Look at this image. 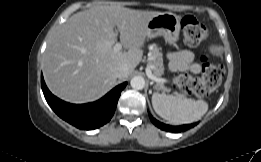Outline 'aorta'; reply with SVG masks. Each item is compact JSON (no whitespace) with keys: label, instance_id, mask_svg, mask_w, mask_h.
<instances>
[{"label":"aorta","instance_id":"1","mask_svg":"<svg viewBox=\"0 0 261 162\" xmlns=\"http://www.w3.org/2000/svg\"><path fill=\"white\" fill-rule=\"evenodd\" d=\"M130 84L133 89L142 90L145 87V80L142 76H134Z\"/></svg>","mask_w":261,"mask_h":162}]
</instances>
